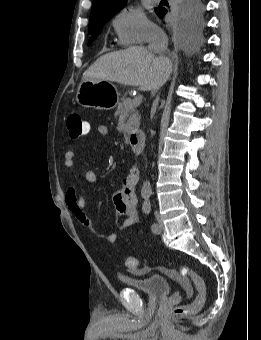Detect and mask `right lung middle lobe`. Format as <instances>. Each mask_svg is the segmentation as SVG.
Here are the masks:
<instances>
[{
    "mask_svg": "<svg viewBox=\"0 0 261 340\" xmlns=\"http://www.w3.org/2000/svg\"><path fill=\"white\" fill-rule=\"evenodd\" d=\"M178 17L180 20L181 32L188 37L198 36L204 27L203 5L200 0H185L179 4ZM112 17L103 18L89 23L88 32L91 35L88 40L90 45L103 26Z\"/></svg>",
    "mask_w": 261,
    "mask_h": 340,
    "instance_id": "dd1d6c3e",
    "label": "right lung middle lobe"
}]
</instances>
